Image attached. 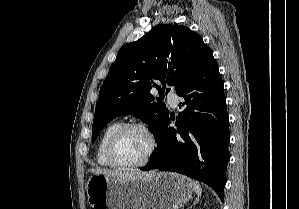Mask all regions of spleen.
<instances>
[{
    "label": "spleen",
    "mask_w": 299,
    "mask_h": 209,
    "mask_svg": "<svg viewBox=\"0 0 299 209\" xmlns=\"http://www.w3.org/2000/svg\"><path fill=\"white\" fill-rule=\"evenodd\" d=\"M193 186H194L195 193L197 194L196 200H199V197L201 196L202 193V188L200 184L196 181L193 182Z\"/></svg>",
    "instance_id": "spleen-1"
}]
</instances>
